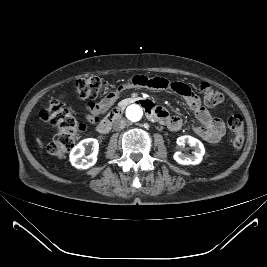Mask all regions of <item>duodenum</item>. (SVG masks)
<instances>
[{"mask_svg":"<svg viewBox=\"0 0 267 267\" xmlns=\"http://www.w3.org/2000/svg\"><path fill=\"white\" fill-rule=\"evenodd\" d=\"M132 103L142 104L148 111L150 117L160 121L161 115L159 113V109L156 108L150 101H142V100L132 98V99H128L125 103L116 107L101 122H99V124L96 127V131L100 134L108 133L111 130V127L114 121L117 120L121 116L125 105L132 104Z\"/></svg>","mask_w":267,"mask_h":267,"instance_id":"1","label":"duodenum"}]
</instances>
